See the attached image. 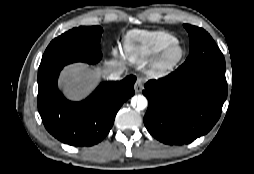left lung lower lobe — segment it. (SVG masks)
I'll return each instance as SVG.
<instances>
[{
    "label": "left lung lower lobe",
    "instance_id": "obj_1",
    "mask_svg": "<svg viewBox=\"0 0 254 174\" xmlns=\"http://www.w3.org/2000/svg\"><path fill=\"white\" fill-rule=\"evenodd\" d=\"M147 130L168 145L193 142L207 134L219 119L227 98L225 67L181 65L159 80L145 84Z\"/></svg>",
    "mask_w": 254,
    "mask_h": 174
}]
</instances>
